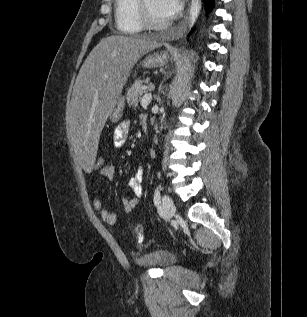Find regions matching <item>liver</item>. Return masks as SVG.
<instances>
[{
	"mask_svg": "<svg viewBox=\"0 0 307 317\" xmlns=\"http://www.w3.org/2000/svg\"><path fill=\"white\" fill-rule=\"evenodd\" d=\"M161 44L147 37L103 38L83 63L73 87L67 131L83 175H92L98 140L137 61Z\"/></svg>",
	"mask_w": 307,
	"mask_h": 317,
	"instance_id": "6515ba94",
	"label": "liver"
}]
</instances>
